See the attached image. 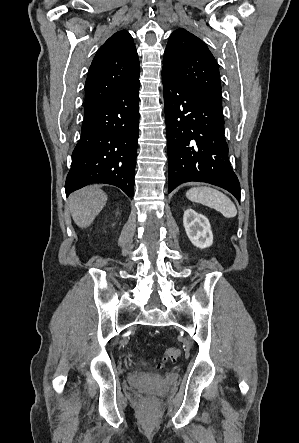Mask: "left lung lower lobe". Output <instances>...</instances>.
<instances>
[{
	"label": "left lung lower lobe",
	"mask_w": 299,
	"mask_h": 443,
	"mask_svg": "<svg viewBox=\"0 0 299 443\" xmlns=\"http://www.w3.org/2000/svg\"><path fill=\"white\" fill-rule=\"evenodd\" d=\"M169 192L188 181L207 182L240 199L229 159L222 107L162 71Z\"/></svg>",
	"instance_id": "0a47b994"
}]
</instances>
